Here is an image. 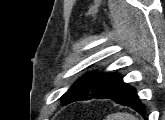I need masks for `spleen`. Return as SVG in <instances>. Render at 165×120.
I'll list each match as a JSON object with an SVG mask.
<instances>
[{
    "label": "spleen",
    "instance_id": "1",
    "mask_svg": "<svg viewBox=\"0 0 165 120\" xmlns=\"http://www.w3.org/2000/svg\"><path fill=\"white\" fill-rule=\"evenodd\" d=\"M106 120H137V118L130 113H113L106 117Z\"/></svg>",
    "mask_w": 165,
    "mask_h": 120
}]
</instances>
